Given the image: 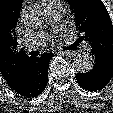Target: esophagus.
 Wrapping results in <instances>:
<instances>
[{
  "label": "esophagus",
  "mask_w": 113,
  "mask_h": 113,
  "mask_svg": "<svg viewBox=\"0 0 113 113\" xmlns=\"http://www.w3.org/2000/svg\"><path fill=\"white\" fill-rule=\"evenodd\" d=\"M59 52H62L63 54H65L66 56H68V57H73V56H75V54H76V52L75 51H59Z\"/></svg>",
  "instance_id": "esophagus-1"
}]
</instances>
